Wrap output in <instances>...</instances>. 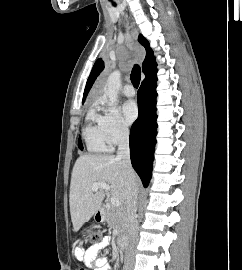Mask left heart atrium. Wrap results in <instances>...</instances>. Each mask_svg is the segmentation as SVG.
Instances as JSON below:
<instances>
[{"label":"left heart atrium","mask_w":242,"mask_h":270,"mask_svg":"<svg viewBox=\"0 0 242 270\" xmlns=\"http://www.w3.org/2000/svg\"><path fill=\"white\" fill-rule=\"evenodd\" d=\"M123 115L128 123H132L138 117V107L132 100L127 101L122 108Z\"/></svg>","instance_id":"left-heart-atrium-1"}]
</instances>
